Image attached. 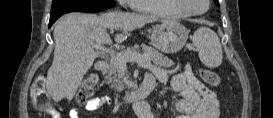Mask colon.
Wrapping results in <instances>:
<instances>
[{
	"label": "colon",
	"mask_w": 273,
	"mask_h": 118,
	"mask_svg": "<svg viewBox=\"0 0 273 118\" xmlns=\"http://www.w3.org/2000/svg\"><path fill=\"white\" fill-rule=\"evenodd\" d=\"M199 74L200 77L211 86H218L220 84L218 75L208 69H200ZM97 84L98 76L96 74L89 75L81 84L76 94L77 102L79 104H84L92 95ZM31 100L37 109L53 113L54 108L51 104V98L46 91L44 78L38 77L35 79L31 89Z\"/></svg>",
	"instance_id": "1"
}]
</instances>
